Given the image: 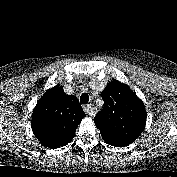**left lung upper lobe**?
I'll list each match as a JSON object with an SVG mask.
<instances>
[{
    "label": "left lung upper lobe",
    "instance_id": "5c2ea615",
    "mask_svg": "<svg viewBox=\"0 0 177 177\" xmlns=\"http://www.w3.org/2000/svg\"><path fill=\"white\" fill-rule=\"evenodd\" d=\"M104 108L94 122L103 140L118 147L133 143L143 132L146 125V111L141 99L117 80L107 84L102 91Z\"/></svg>",
    "mask_w": 177,
    "mask_h": 177
}]
</instances>
